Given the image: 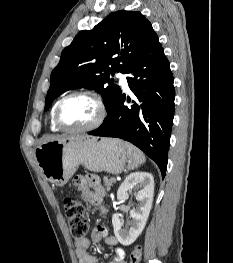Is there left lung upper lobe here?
<instances>
[{
    "instance_id": "left-lung-upper-lobe-1",
    "label": "left lung upper lobe",
    "mask_w": 233,
    "mask_h": 263,
    "mask_svg": "<svg viewBox=\"0 0 233 263\" xmlns=\"http://www.w3.org/2000/svg\"><path fill=\"white\" fill-rule=\"evenodd\" d=\"M156 37L140 12L124 10L110 14L92 30L81 31L51 73L45 111L65 91L83 87L99 92L109 113L121 96L110 75L126 73Z\"/></svg>"
}]
</instances>
